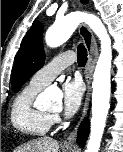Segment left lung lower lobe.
Instances as JSON below:
<instances>
[{
  "instance_id": "left-lung-lower-lobe-1",
  "label": "left lung lower lobe",
  "mask_w": 123,
  "mask_h": 152,
  "mask_svg": "<svg viewBox=\"0 0 123 152\" xmlns=\"http://www.w3.org/2000/svg\"><path fill=\"white\" fill-rule=\"evenodd\" d=\"M89 134V123L85 120L79 128L77 143L79 146L84 147Z\"/></svg>"
}]
</instances>
